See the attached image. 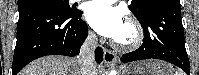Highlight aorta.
I'll list each match as a JSON object with an SVG mask.
<instances>
[{
  "label": "aorta",
  "mask_w": 199,
  "mask_h": 75,
  "mask_svg": "<svg viewBox=\"0 0 199 75\" xmlns=\"http://www.w3.org/2000/svg\"><path fill=\"white\" fill-rule=\"evenodd\" d=\"M110 75H116V71H115V70H112V71L110 72Z\"/></svg>",
  "instance_id": "obj_1"
}]
</instances>
